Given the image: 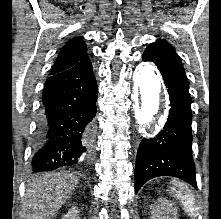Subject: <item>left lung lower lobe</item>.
Segmentation results:
<instances>
[{"instance_id": "0a47b994", "label": "left lung lower lobe", "mask_w": 221, "mask_h": 219, "mask_svg": "<svg viewBox=\"0 0 221 219\" xmlns=\"http://www.w3.org/2000/svg\"><path fill=\"white\" fill-rule=\"evenodd\" d=\"M142 59L153 62L162 73L171 108L163 130L140 143L135 165V193L145 182L158 176L177 177L196 188L191 149V97L182 63L174 50L155 46H148Z\"/></svg>"}]
</instances>
